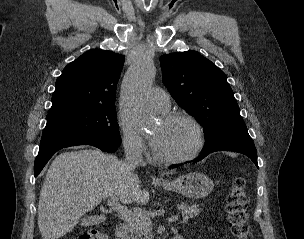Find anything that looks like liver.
Listing matches in <instances>:
<instances>
[{
    "label": "liver",
    "instance_id": "1",
    "mask_svg": "<svg viewBox=\"0 0 304 239\" xmlns=\"http://www.w3.org/2000/svg\"><path fill=\"white\" fill-rule=\"evenodd\" d=\"M145 205L149 192L125 161L97 149L64 152L51 163L40 192L38 227L43 239L71 232L103 198Z\"/></svg>",
    "mask_w": 304,
    "mask_h": 239
}]
</instances>
